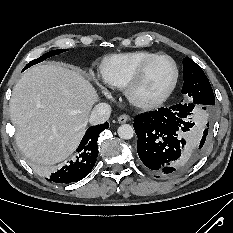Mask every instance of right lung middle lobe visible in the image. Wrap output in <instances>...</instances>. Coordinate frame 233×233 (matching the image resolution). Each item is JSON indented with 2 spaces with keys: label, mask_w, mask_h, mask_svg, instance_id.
<instances>
[{
  "label": "right lung middle lobe",
  "mask_w": 233,
  "mask_h": 233,
  "mask_svg": "<svg viewBox=\"0 0 233 233\" xmlns=\"http://www.w3.org/2000/svg\"><path fill=\"white\" fill-rule=\"evenodd\" d=\"M64 51H67V49H57V50H53V51H50L44 55H42L41 57H39L38 59H35V60H32L31 62H29L23 70L29 68L30 66L34 65V64H37L39 62H42L44 60H46L47 58H50L51 56H55L57 54H60Z\"/></svg>",
  "instance_id": "right-lung-middle-lobe-1"
}]
</instances>
